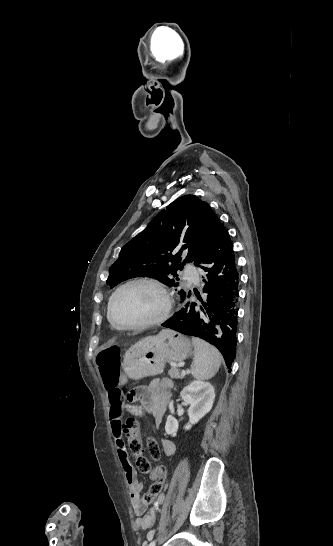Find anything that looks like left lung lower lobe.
Listing matches in <instances>:
<instances>
[{
  "label": "left lung lower lobe",
  "instance_id": "0a47b994",
  "mask_svg": "<svg viewBox=\"0 0 333 546\" xmlns=\"http://www.w3.org/2000/svg\"><path fill=\"white\" fill-rule=\"evenodd\" d=\"M195 264L206 273V302L186 303L187 294L180 291V303L185 305L163 326L210 342L231 368L236 355L238 271L233 244L219 220L209 246Z\"/></svg>",
  "mask_w": 333,
  "mask_h": 546
}]
</instances>
